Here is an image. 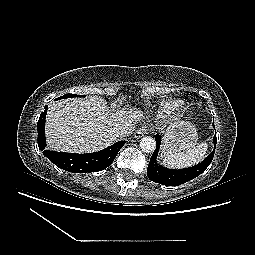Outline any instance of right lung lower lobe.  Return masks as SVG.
<instances>
[{
    "label": "right lung lower lobe",
    "instance_id": "right-lung-lower-lobe-1",
    "mask_svg": "<svg viewBox=\"0 0 255 255\" xmlns=\"http://www.w3.org/2000/svg\"><path fill=\"white\" fill-rule=\"evenodd\" d=\"M48 107L41 113L38 120V146L43 154L59 168L72 173L102 171L114 161L125 141H119L101 151L88 154L55 152L45 149V118Z\"/></svg>",
    "mask_w": 255,
    "mask_h": 255
}]
</instances>
